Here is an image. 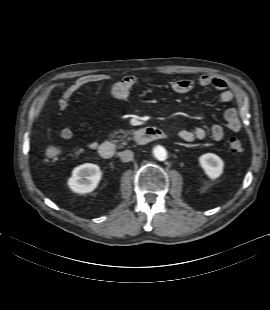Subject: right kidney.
<instances>
[{
    "label": "right kidney",
    "mask_w": 270,
    "mask_h": 310,
    "mask_svg": "<svg viewBox=\"0 0 270 310\" xmlns=\"http://www.w3.org/2000/svg\"><path fill=\"white\" fill-rule=\"evenodd\" d=\"M102 177L99 166L86 163L76 167L68 179L70 189L79 194L92 192L97 188Z\"/></svg>",
    "instance_id": "obj_1"
}]
</instances>
